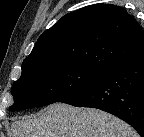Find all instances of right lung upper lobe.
Returning a JSON list of instances; mask_svg holds the SVG:
<instances>
[{
	"mask_svg": "<svg viewBox=\"0 0 144 137\" xmlns=\"http://www.w3.org/2000/svg\"><path fill=\"white\" fill-rule=\"evenodd\" d=\"M144 54L142 27L123 8L95 4L63 16L37 40L23 66L70 62L106 73Z\"/></svg>",
	"mask_w": 144,
	"mask_h": 137,
	"instance_id": "cb5924a9",
	"label": "right lung upper lobe"
}]
</instances>
